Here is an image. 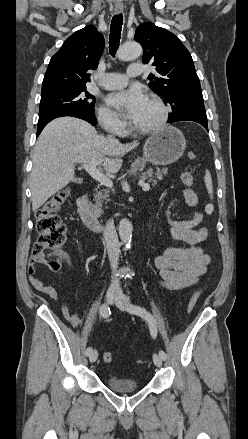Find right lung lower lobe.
<instances>
[{
    "mask_svg": "<svg viewBox=\"0 0 248 439\" xmlns=\"http://www.w3.org/2000/svg\"><path fill=\"white\" fill-rule=\"evenodd\" d=\"M63 116H72L77 117L80 119H83L87 122H89L92 125L97 124V120L94 113H88L85 111H79V110H61L54 113H51L49 115H46L44 117L39 118L38 121V127H37V133L36 136L38 137L43 128L53 119Z\"/></svg>",
    "mask_w": 248,
    "mask_h": 439,
    "instance_id": "1",
    "label": "right lung lower lobe"
}]
</instances>
